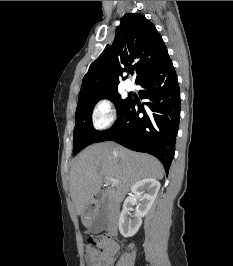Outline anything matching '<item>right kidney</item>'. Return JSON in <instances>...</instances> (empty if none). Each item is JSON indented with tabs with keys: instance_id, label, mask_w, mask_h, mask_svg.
<instances>
[{
	"instance_id": "obj_1",
	"label": "right kidney",
	"mask_w": 233,
	"mask_h": 266,
	"mask_svg": "<svg viewBox=\"0 0 233 266\" xmlns=\"http://www.w3.org/2000/svg\"><path fill=\"white\" fill-rule=\"evenodd\" d=\"M159 189L160 183L154 178L142 179L131 187L132 194L125 200L119 217V231L123 236L131 237L137 233L142 224V218L150 210ZM134 204L137 207L135 214L132 215Z\"/></svg>"
}]
</instances>
